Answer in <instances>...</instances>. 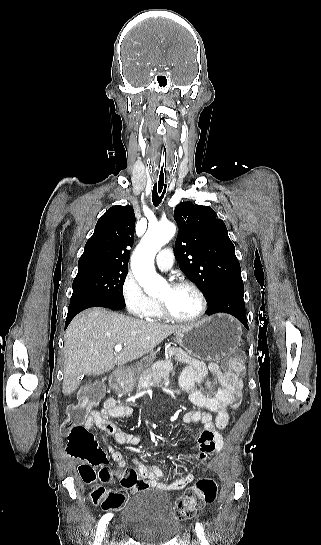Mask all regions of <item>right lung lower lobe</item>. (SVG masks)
I'll return each instance as SVG.
<instances>
[{"mask_svg":"<svg viewBox=\"0 0 321 545\" xmlns=\"http://www.w3.org/2000/svg\"><path fill=\"white\" fill-rule=\"evenodd\" d=\"M90 307H106L114 310H120L125 307V303H115L106 300L99 299H79L73 303H70L68 307V314L65 322V327L69 325L71 320L82 310Z\"/></svg>","mask_w":321,"mask_h":545,"instance_id":"1","label":"right lung lower lobe"}]
</instances>
